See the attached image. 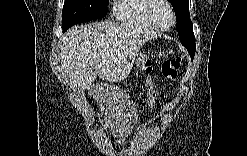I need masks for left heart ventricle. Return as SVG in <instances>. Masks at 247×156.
Returning a JSON list of instances; mask_svg holds the SVG:
<instances>
[{
    "instance_id": "obj_1",
    "label": "left heart ventricle",
    "mask_w": 247,
    "mask_h": 156,
    "mask_svg": "<svg viewBox=\"0 0 247 156\" xmlns=\"http://www.w3.org/2000/svg\"><path fill=\"white\" fill-rule=\"evenodd\" d=\"M153 16L156 22L161 26H167L171 23L170 11L168 7L163 3H160L156 6L153 12Z\"/></svg>"
}]
</instances>
